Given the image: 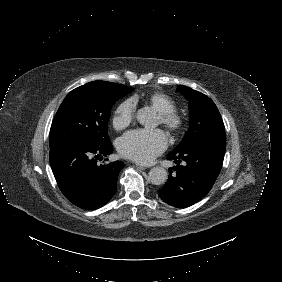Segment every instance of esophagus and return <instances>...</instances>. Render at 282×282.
<instances>
[{"label": "esophagus", "mask_w": 282, "mask_h": 282, "mask_svg": "<svg viewBox=\"0 0 282 282\" xmlns=\"http://www.w3.org/2000/svg\"><path fill=\"white\" fill-rule=\"evenodd\" d=\"M136 167H137L138 169H141V170H145V169H147V167H146V166L141 165V164H136Z\"/></svg>", "instance_id": "34e87169"}]
</instances>
